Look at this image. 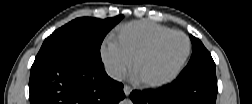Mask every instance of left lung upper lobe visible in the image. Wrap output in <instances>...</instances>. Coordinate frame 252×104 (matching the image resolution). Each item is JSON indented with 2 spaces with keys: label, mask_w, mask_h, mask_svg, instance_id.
I'll return each instance as SVG.
<instances>
[{
  "label": "left lung upper lobe",
  "mask_w": 252,
  "mask_h": 104,
  "mask_svg": "<svg viewBox=\"0 0 252 104\" xmlns=\"http://www.w3.org/2000/svg\"><path fill=\"white\" fill-rule=\"evenodd\" d=\"M192 41L193 53L187 66L181 71L179 76H186L200 72L215 71V62L210 52L205 48L202 42L190 35Z\"/></svg>",
  "instance_id": "5c2ea615"
}]
</instances>
